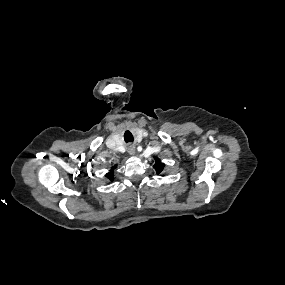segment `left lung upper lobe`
Instances as JSON below:
<instances>
[{
  "instance_id": "left-lung-upper-lobe-1",
  "label": "left lung upper lobe",
  "mask_w": 285,
  "mask_h": 285,
  "mask_svg": "<svg viewBox=\"0 0 285 285\" xmlns=\"http://www.w3.org/2000/svg\"><path fill=\"white\" fill-rule=\"evenodd\" d=\"M154 168L156 169L157 173L160 174L163 171L164 164H162L159 159H155Z\"/></svg>"
}]
</instances>
